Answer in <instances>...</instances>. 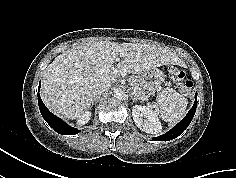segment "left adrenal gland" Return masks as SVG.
<instances>
[{"mask_svg":"<svg viewBox=\"0 0 236 178\" xmlns=\"http://www.w3.org/2000/svg\"><path fill=\"white\" fill-rule=\"evenodd\" d=\"M131 99L133 100V102H137L140 101L135 95L134 93H131ZM142 103V101H140Z\"/></svg>","mask_w":236,"mask_h":178,"instance_id":"obj_1","label":"left adrenal gland"}]
</instances>
